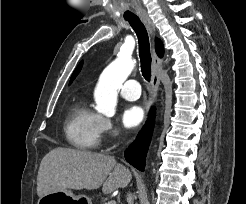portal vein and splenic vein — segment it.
<instances>
[{"mask_svg": "<svg viewBox=\"0 0 246 204\" xmlns=\"http://www.w3.org/2000/svg\"><path fill=\"white\" fill-rule=\"evenodd\" d=\"M107 204H116L115 200H110Z\"/></svg>", "mask_w": 246, "mask_h": 204, "instance_id": "1", "label": "portal vein and splenic vein"}]
</instances>
